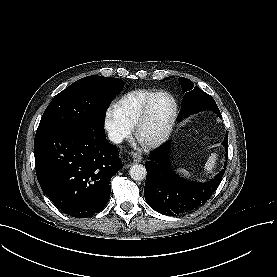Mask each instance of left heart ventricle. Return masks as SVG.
<instances>
[{"instance_id": "1", "label": "left heart ventricle", "mask_w": 277, "mask_h": 277, "mask_svg": "<svg viewBox=\"0 0 277 277\" xmlns=\"http://www.w3.org/2000/svg\"><path fill=\"white\" fill-rule=\"evenodd\" d=\"M172 110L173 104L167 97H155L141 126V138L152 140L161 136L168 126Z\"/></svg>"}]
</instances>
